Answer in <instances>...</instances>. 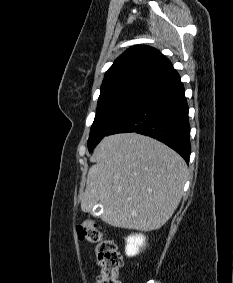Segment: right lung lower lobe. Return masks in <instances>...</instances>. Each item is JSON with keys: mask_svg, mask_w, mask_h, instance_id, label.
<instances>
[{"mask_svg": "<svg viewBox=\"0 0 233 283\" xmlns=\"http://www.w3.org/2000/svg\"><path fill=\"white\" fill-rule=\"evenodd\" d=\"M175 69L152 80L107 135L136 132L155 138L188 163L191 151L188 105Z\"/></svg>", "mask_w": 233, "mask_h": 283, "instance_id": "obj_1", "label": "right lung lower lobe"}]
</instances>
